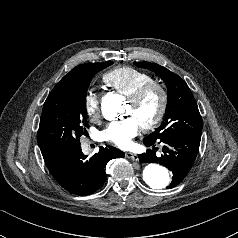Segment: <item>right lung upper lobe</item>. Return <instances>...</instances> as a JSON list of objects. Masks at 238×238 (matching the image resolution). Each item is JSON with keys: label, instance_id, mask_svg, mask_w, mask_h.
Returning <instances> with one entry per match:
<instances>
[{"label": "right lung upper lobe", "instance_id": "obj_1", "mask_svg": "<svg viewBox=\"0 0 238 238\" xmlns=\"http://www.w3.org/2000/svg\"><path fill=\"white\" fill-rule=\"evenodd\" d=\"M89 64V63H88ZM87 64H83V65H79L77 67H75L74 69H72L68 74H66L63 79L69 78L73 75H75L76 73H78L79 71H81ZM53 153H43V158H47L49 156H51Z\"/></svg>", "mask_w": 238, "mask_h": 238}]
</instances>
